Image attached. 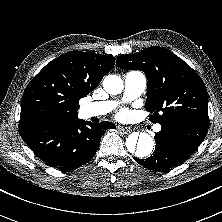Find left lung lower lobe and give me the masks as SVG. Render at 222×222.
<instances>
[{
    "instance_id": "obj_1",
    "label": "left lung lower lobe",
    "mask_w": 222,
    "mask_h": 222,
    "mask_svg": "<svg viewBox=\"0 0 222 222\" xmlns=\"http://www.w3.org/2000/svg\"><path fill=\"white\" fill-rule=\"evenodd\" d=\"M160 124L153 155L146 159L134 157L140 165L159 172L185 162L203 142L209 128V122L192 118L169 119Z\"/></svg>"
}]
</instances>
